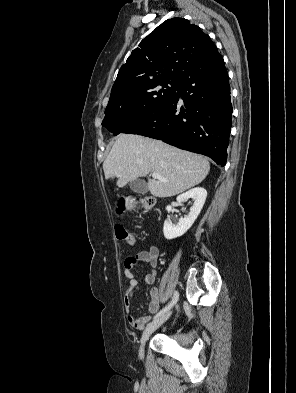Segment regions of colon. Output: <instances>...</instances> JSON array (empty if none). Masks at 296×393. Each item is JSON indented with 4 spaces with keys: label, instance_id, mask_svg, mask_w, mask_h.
Masks as SVG:
<instances>
[{
    "label": "colon",
    "instance_id": "5ec220e1",
    "mask_svg": "<svg viewBox=\"0 0 296 393\" xmlns=\"http://www.w3.org/2000/svg\"><path fill=\"white\" fill-rule=\"evenodd\" d=\"M139 204L144 209H151L154 205V200L150 197H145L140 199ZM124 208V203L120 204V210ZM115 234L119 240L126 242L130 246H134L136 244L135 234L121 225L115 226Z\"/></svg>",
    "mask_w": 296,
    "mask_h": 393
}]
</instances>
